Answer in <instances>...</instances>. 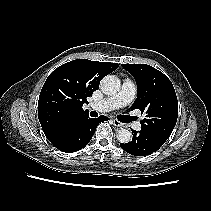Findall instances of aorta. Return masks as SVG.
<instances>
[{"instance_id": "762f6f07", "label": "aorta", "mask_w": 211, "mask_h": 211, "mask_svg": "<svg viewBox=\"0 0 211 211\" xmlns=\"http://www.w3.org/2000/svg\"><path fill=\"white\" fill-rule=\"evenodd\" d=\"M101 90L106 95H114L120 89V80L115 75L105 76L100 83ZM120 143H128L132 139V132L129 129L121 128L116 134Z\"/></svg>"}]
</instances>
